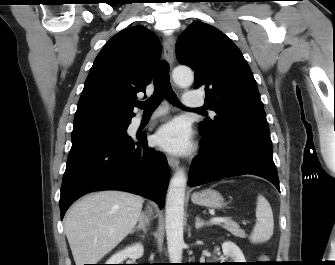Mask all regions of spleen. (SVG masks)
Listing matches in <instances>:
<instances>
[{
	"instance_id": "spleen-1",
	"label": "spleen",
	"mask_w": 335,
	"mask_h": 265,
	"mask_svg": "<svg viewBox=\"0 0 335 265\" xmlns=\"http://www.w3.org/2000/svg\"><path fill=\"white\" fill-rule=\"evenodd\" d=\"M274 219L269 202L259 195L256 206V224L250 236L252 243H261L269 240L273 235Z\"/></svg>"
}]
</instances>
